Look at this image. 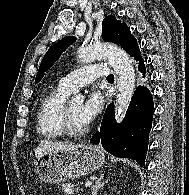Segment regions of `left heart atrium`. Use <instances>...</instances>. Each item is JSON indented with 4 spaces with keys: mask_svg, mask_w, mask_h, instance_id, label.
Segmentation results:
<instances>
[{
    "mask_svg": "<svg viewBox=\"0 0 189 195\" xmlns=\"http://www.w3.org/2000/svg\"><path fill=\"white\" fill-rule=\"evenodd\" d=\"M104 104V97L100 92H92L81 106L80 118L89 125L100 113Z\"/></svg>",
    "mask_w": 189,
    "mask_h": 195,
    "instance_id": "39dd6f15",
    "label": "left heart atrium"
}]
</instances>
